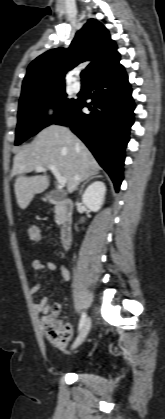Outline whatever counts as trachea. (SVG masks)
I'll list each match as a JSON object with an SVG mask.
<instances>
[{
	"label": "trachea",
	"mask_w": 165,
	"mask_h": 419,
	"mask_svg": "<svg viewBox=\"0 0 165 419\" xmlns=\"http://www.w3.org/2000/svg\"><path fill=\"white\" fill-rule=\"evenodd\" d=\"M85 77H86V71H85V70H83V71L81 72V79H82V82H85Z\"/></svg>",
	"instance_id": "1"
}]
</instances>
